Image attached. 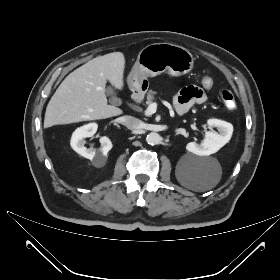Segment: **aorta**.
<instances>
[{
	"label": "aorta",
	"mask_w": 280,
	"mask_h": 280,
	"mask_svg": "<svg viewBox=\"0 0 280 280\" xmlns=\"http://www.w3.org/2000/svg\"><path fill=\"white\" fill-rule=\"evenodd\" d=\"M161 141V137L158 133L156 132H151L146 136V142L149 145H156L159 144Z\"/></svg>",
	"instance_id": "1"
}]
</instances>
